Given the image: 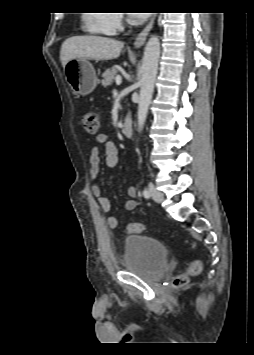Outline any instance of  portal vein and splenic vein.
<instances>
[{
	"instance_id": "18ae733b",
	"label": "portal vein and splenic vein",
	"mask_w": 254,
	"mask_h": 355,
	"mask_svg": "<svg viewBox=\"0 0 254 355\" xmlns=\"http://www.w3.org/2000/svg\"><path fill=\"white\" fill-rule=\"evenodd\" d=\"M115 81H116V84H117V85H120L121 82H122L121 76H120V75L116 76Z\"/></svg>"
}]
</instances>
